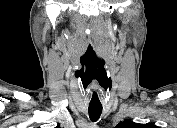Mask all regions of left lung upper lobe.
Wrapping results in <instances>:
<instances>
[{"label": "left lung upper lobe", "instance_id": "1", "mask_svg": "<svg viewBox=\"0 0 177 128\" xmlns=\"http://www.w3.org/2000/svg\"><path fill=\"white\" fill-rule=\"evenodd\" d=\"M134 126H136V123L126 120L124 122L119 123L117 127H119V128H132Z\"/></svg>", "mask_w": 177, "mask_h": 128}]
</instances>
